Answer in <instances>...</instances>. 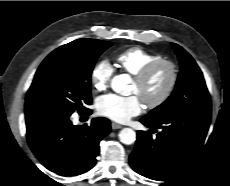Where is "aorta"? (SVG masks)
Returning a JSON list of instances; mask_svg holds the SVG:
<instances>
[{
  "label": "aorta",
  "instance_id": "aorta-1",
  "mask_svg": "<svg viewBox=\"0 0 230 186\" xmlns=\"http://www.w3.org/2000/svg\"><path fill=\"white\" fill-rule=\"evenodd\" d=\"M127 83V76L122 74L112 79L111 87L115 92L123 93ZM119 139L122 143L130 145L136 140V132L131 128H124L119 133Z\"/></svg>",
  "mask_w": 230,
  "mask_h": 186
}]
</instances>
